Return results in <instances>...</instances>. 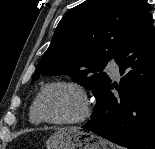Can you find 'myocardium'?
I'll use <instances>...</instances> for the list:
<instances>
[{
    "label": "myocardium",
    "instance_id": "myocardium-1",
    "mask_svg": "<svg viewBox=\"0 0 155 149\" xmlns=\"http://www.w3.org/2000/svg\"><path fill=\"white\" fill-rule=\"evenodd\" d=\"M54 86H65L74 89L81 99V111L78 116L71 118V119H60V120H54L46 117L44 113L41 110V100L44 95V93L51 87ZM34 110L37 113L38 117L42 122L53 124V125H72V124H78L83 121H85L91 114V105L89 101V97L87 94L86 89L81 85L80 83L72 80H54L51 82L46 83L37 94L34 103Z\"/></svg>",
    "mask_w": 155,
    "mask_h": 149
}]
</instances>
